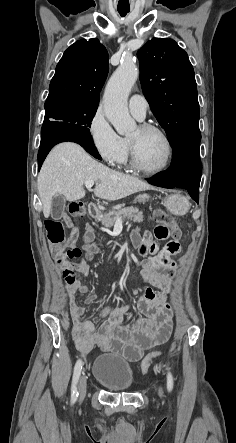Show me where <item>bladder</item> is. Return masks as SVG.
Wrapping results in <instances>:
<instances>
[{
  "label": "bladder",
  "instance_id": "obj_1",
  "mask_svg": "<svg viewBox=\"0 0 236 443\" xmlns=\"http://www.w3.org/2000/svg\"><path fill=\"white\" fill-rule=\"evenodd\" d=\"M93 373L110 392H126L133 384L132 369L121 357L100 355L94 363Z\"/></svg>",
  "mask_w": 236,
  "mask_h": 443
}]
</instances>
